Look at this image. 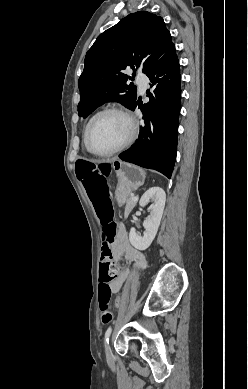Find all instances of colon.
I'll return each mask as SVG.
<instances>
[{
	"label": "colon",
	"instance_id": "colon-1",
	"mask_svg": "<svg viewBox=\"0 0 248 389\" xmlns=\"http://www.w3.org/2000/svg\"><path fill=\"white\" fill-rule=\"evenodd\" d=\"M78 177L102 225V252L100 266L99 307L103 324L113 320L110 309L111 285L117 277L118 267L113 261L111 246L117 234V223L109 194L108 176L112 171L110 161H86L79 157L76 162ZM114 309L120 310L124 294H115Z\"/></svg>",
	"mask_w": 248,
	"mask_h": 389
}]
</instances>
